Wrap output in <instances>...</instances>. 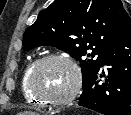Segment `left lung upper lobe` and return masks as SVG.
Returning a JSON list of instances; mask_svg holds the SVG:
<instances>
[{
    "mask_svg": "<svg viewBox=\"0 0 131 115\" xmlns=\"http://www.w3.org/2000/svg\"><path fill=\"white\" fill-rule=\"evenodd\" d=\"M130 28L131 18L121 0H55L25 31L23 48L46 45L67 52L80 62L84 88Z\"/></svg>",
    "mask_w": 131,
    "mask_h": 115,
    "instance_id": "left-lung-upper-lobe-1",
    "label": "left lung upper lobe"
}]
</instances>
